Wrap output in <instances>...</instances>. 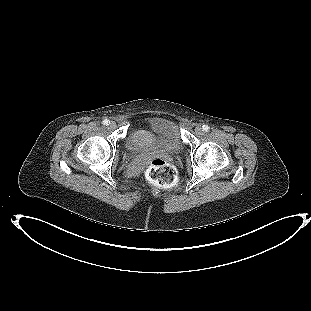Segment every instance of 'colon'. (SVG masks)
I'll list each match as a JSON object with an SVG mask.
<instances>
[{"mask_svg":"<svg viewBox=\"0 0 311 311\" xmlns=\"http://www.w3.org/2000/svg\"><path fill=\"white\" fill-rule=\"evenodd\" d=\"M146 176L151 183L164 188L171 187L177 181L175 168L162 158L151 160Z\"/></svg>","mask_w":311,"mask_h":311,"instance_id":"colon-1","label":"colon"}]
</instances>
